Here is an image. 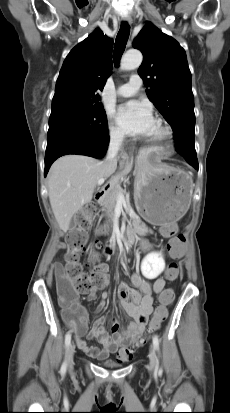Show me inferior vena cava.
<instances>
[{
	"mask_svg": "<svg viewBox=\"0 0 230 413\" xmlns=\"http://www.w3.org/2000/svg\"><path fill=\"white\" fill-rule=\"evenodd\" d=\"M124 134L122 132H115L111 135L108 150H107V156L104 162L108 166H117V154L118 151L121 147V144L123 142Z\"/></svg>",
	"mask_w": 230,
	"mask_h": 413,
	"instance_id": "1",
	"label": "inferior vena cava"
}]
</instances>
